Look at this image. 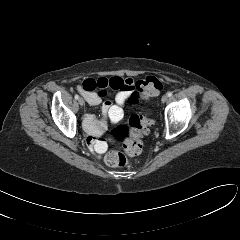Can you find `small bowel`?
I'll list each match as a JSON object with an SVG mask.
<instances>
[{
    "label": "small bowel",
    "instance_id": "small-bowel-1",
    "mask_svg": "<svg viewBox=\"0 0 240 240\" xmlns=\"http://www.w3.org/2000/svg\"><path fill=\"white\" fill-rule=\"evenodd\" d=\"M134 84L135 82L131 78L99 77L96 79L87 78L77 86L78 92L86 99L88 104L95 106L102 103V117L100 119H96L91 114L84 117V127L90 135V143H94L95 137L105 131L108 121L117 123L122 119V107L133 95ZM107 89L114 91V104L106 98Z\"/></svg>",
    "mask_w": 240,
    "mask_h": 240
}]
</instances>
